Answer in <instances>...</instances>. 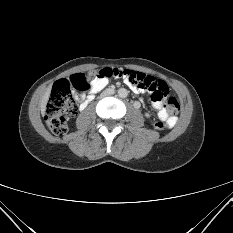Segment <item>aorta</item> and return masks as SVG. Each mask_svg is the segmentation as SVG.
<instances>
[{
	"instance_id": "762f6f07",
	"label": "aorta",
	"mask_w": 233,
	"mask_h": 233,
	"mask_svg": "<svg viewBox=\"0 0 233 233\" xmlns=\"http://www.w3.org/2000/svg\"><path fill=\"white\" fill-rule=\"evenodd\" d=\"M118 96L121 98H126L128 96V91L125 88H120L118 90Z\"/></svg>"
}]
</instances>
